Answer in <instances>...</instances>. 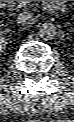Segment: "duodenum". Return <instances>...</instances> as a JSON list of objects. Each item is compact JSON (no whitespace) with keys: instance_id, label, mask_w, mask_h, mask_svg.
<instances>
[{"instance_id":"1","label":"duodenum","mask_w":74,"mask_h":122,"mask_svg":"<svg viewBox=\"0 0 74 122\" xmlns=\"http://www.w3.org/2000/svg\"><path fill=\"white\" fill-rule=\"evenodd\" d=\"M5 7L13 5V1H1ZM61 1H44L43 8L46 12H53L60 6Z\"/></svg>"}]
</instances>
